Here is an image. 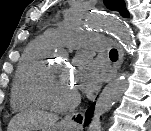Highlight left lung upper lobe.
<instances>
[{
	"label": "left lung upper lobe",
	"mask_w": 151,
	"mask_h": 131,
	"mask_svg": "<svg viewBox=\"0 0 151 131\" xmlns=\"http://www.w3.org/2000/svg\"><path fill=\"white\" fill-rule=\"evenodd\" d=\"M104 3L108 9L120 12L123 17H129L124 0H104Z\"/></svg>",
	"instance_id": "obj_1"
}]
</instances>
